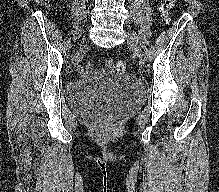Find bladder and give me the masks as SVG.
Here are the masks:
<instances>
[{
  "instance_id": "31cf9c89",
  "label": "bladder",
  "mask_w": 219,
  "mask_h": 192,
  "mask_svg": "<svg viewBox=\"0 0 219 192\" xmlns=\"http://www.w3.org/2000/svg\"><path fill=\"white\" fill-rule=\"evenodd\" d=\"M146 86L110 70L84 75L66 87L68 107L91 121L119 117L141 105Z\"/></svg>"
}]
</instances>
